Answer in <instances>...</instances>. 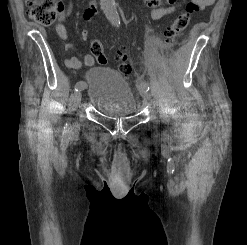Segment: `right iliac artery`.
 I'll return each mask as SVG.
<instances>
[{
  "label": "right iliac artery",
  "mask_w": 247,
  "mask_h": 245,
  "mask_svg": "<svg viewBox=\"0 0 247 245\" xmlns=\"http://www.w3.org/2000/svg\"><path fill=\"white\" fill-rule=\"evenodd\" d=\"M85 82L84 81H79L76 83L75 85V91H78L79 89H81L83 86H85Z\"/></svg>",
  "instance_id": "right-iliac-artery-1"
}]
</instances>
